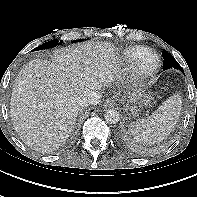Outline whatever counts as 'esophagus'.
<instances>
[{
  "instance_id": "1",
  "label": "esophagus",
  "mask_w": 197,
  "mask_h": 197,
  "mask_svg": "<svg viewBox=\"0 0 197 197\" xmlns=\"http://www.w3.org/2000/svg\"><path fill=\"white\" fill-rule=\"evenodd\" d=\"M116 105V101L112 98L107 99L104 103L105 107H114Z\"/></svg>"
}]
</instances>
